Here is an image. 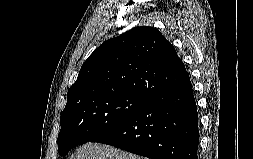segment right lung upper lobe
I'll use <instances>...</instances> for the list:
<instances>
[{"mask_svg": "<svg viewBox=\"0 0 253 159\" xmlns=\"http://www.w3.org/2000/svg\"><path fill=\"white\" fill-rule=\"evenodd\" d=\"M189 79L175 48L155 28L141 26L101 44L84 62L67 103L99 93L147 99Z\"/></svg>", "mask_w": 253, "mask_h": 159, "instance_id": "1", "label": "right lung upper lobe"}]
</instances>
